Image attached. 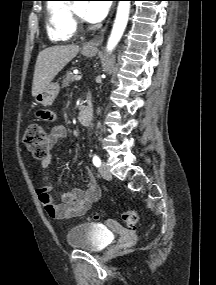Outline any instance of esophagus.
<instances>
[{
    "label": "esophagus",
    "mask_w": 216,
    "mask_h": 285,
    "mask_svg": "<svg viewBox=\"0 0 216 285\" xmlns=\"http://www.w3.org/2000/svg\"><path fill=\"white\" fill-rule=\"evenodd\" d=\"M111 16H112V13L110 15V18H109L106 26L102 29V31L99 33V35H97L95 38H93L92 40H90L89 42H87L84 45V47H83L84 49H96L102 43L104 34H105L107 27H108V24L110 23Z\"/></svg>",
    "instance_id": "esophagus-1"
}]
</instances>
